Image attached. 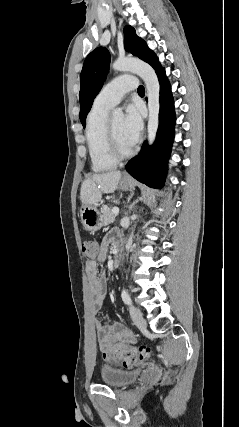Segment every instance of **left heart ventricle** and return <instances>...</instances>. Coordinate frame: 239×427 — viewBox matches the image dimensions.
Segmentation results:
<instances>
[{
	"mask_svg": "<svg viewBox=\"0 0 239 427\" xmlns=\"http://www.w3.org/2000/svg\"><path fill=\"white\" fill-rule=\"evenodd\" d=\"M111 125L115 134L117 144L121 151H129L133 145L126 139L123 132V119L121 117L111 120Z\"/></svg>",
	"mask_w": 239,
	"mask_h": 427,
	"instance_id": "b2bd125f",
	"label": "left heart ventricle"
}]
</instances>
